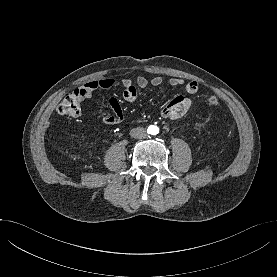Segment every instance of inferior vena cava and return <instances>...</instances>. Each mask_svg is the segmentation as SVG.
I'll return each instance as SVG.
<instances>
[{
	"label": "inferior vena cava",
	"instance_id": "1",
	"mask_svg": "<svg viewBox=\"0 0 277 277\" xmlns=\"http://www.w3.org/2000/svg\"><path fill=\"white\" fill-rule=\"evenodd\" d=\"M131 137L135 139H142L147 136L146 130L142 127L134 128L130 131Z\"/></svg>",
	"mask_w": 277,
	"mask_h": 277
}]
</instances>
